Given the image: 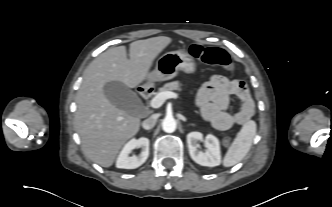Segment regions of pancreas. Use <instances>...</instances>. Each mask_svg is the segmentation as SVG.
Returning a JSON list of instances; mask_svg holds the SVG:
<instances>
[{"label": "pancreas", "instance_id": "obj_1", "mask_svg": "<svg viewBox=\"0 0 332 207\" xmlns=\"http://www.w3.org/2000/svg\"><path fill=\"white\" fill-rule=\"evenodd\" d=\"M181 86L182 84L178 81L169 82L159 89V93L165 91H173V90L181 91L182 90Z\"/></svg>", "mask_w": 332, "mask_h": 207}]
</instances>
